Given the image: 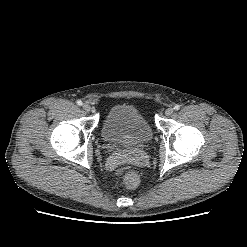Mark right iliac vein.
<instances>
[{
  "instance_id": "obj_1",
  "label": "right iliac vein",
  "mask_w": 247,
  "mask_h": 247,
  "mask_svg": "<svg viewBox=\"0 0 247 247\" xmlns=\"http://www.w3.org/2000/svg\"><path fill=\"white\" fill-rule=\"evenodd\" d=\"M82 108L85 112H90L91 110V106L87 103L83 104Z\"/></svg>"
}]
</instances>
